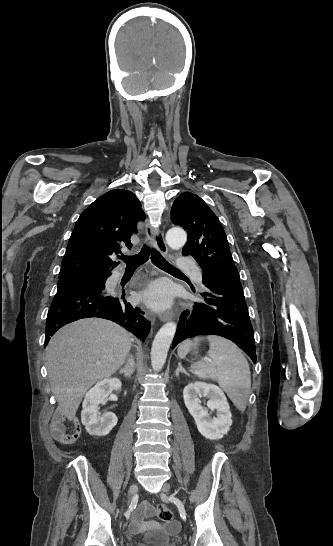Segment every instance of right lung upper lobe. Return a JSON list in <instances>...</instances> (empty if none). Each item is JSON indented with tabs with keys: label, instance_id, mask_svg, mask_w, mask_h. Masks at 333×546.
I'll return each instance as SVG.
<instances>
[{
	"label": "right lung upper lobe",
	"instance_id": "obj_1",
	"mask_svg": "<svg viewBox=\"0 0 333 546\" xmlns=\"http://www.w3.org/2000/svg\"><path fill=\"white\" fill-rule=\"evenodd\" d=\"M145 217L135 194L112 190L95 200L77 220L69 239L60 280L106 275L119 263L111 259L122 246L131 248V235Z\"/></svg>",
	"mask_w": 333,
	"mask_h": 546
}]
</instances>
